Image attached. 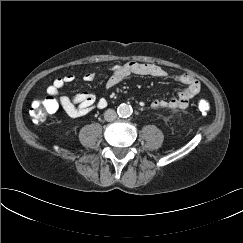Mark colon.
<instances>
[{
	"label": "colon",
	"instance_id": "1",
	"mask_svg": "<svg viewBox=\"0 0 243 243\" xmlns=\"http://www.w3.org/2000/svg\"><path fill=\"white\" fill-rule=\"evenodd\" d=\"M197 107L200 112L207 113L210 110V103L206 100H199ZM58 109V103L52 96L35 99L30 108V117L34 123L40 124L49 114H53Z\"/></svg>",
	"mask_w": 243,
	"mask_h": 243
}]
</instances>
